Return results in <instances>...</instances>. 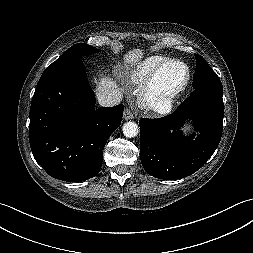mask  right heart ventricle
I'll use <instances>...</instances> for the list:
<instances>
[{
  "label": "right heart ventricle",
  "mask_w": 253,
  "mask_h": 253,
  "mask_svg": "<svg viewBox=\"0 0 253 253\" xmlns=\"http://www.w3.org/2000/svg\"><path fill=\"white\" fill-rule=\"evenodd\" d=\"M167 60L163 56H150L146 58L143 62L137 65V67L130 73V81L132 84L140 87L144 84L147 77L152 73V71Z\"/></svg>",
  "instance_id": "right-heart-ventricle-1"
}]
</instances>
